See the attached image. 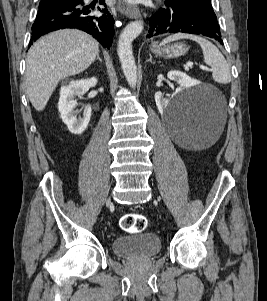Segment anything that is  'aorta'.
<instances>
[{
	"mask_svg": "<svg viewBox=\"0 0 267 301\" xmlns=\"http://www.w3.org/2000/svg\"><path fill=\"white\" fill-rule=\"evenodd\" d=\"M143 30L142 21H134L128 24L119 37L118 56L125 78L131 88L137 84V67L132 51V42Z\"/></svg>",
	"mask_w": 267,
	"mask_h": 301,
	"instance_id": "762f6f07",
	"label": "aorta"
}]
</instances>
